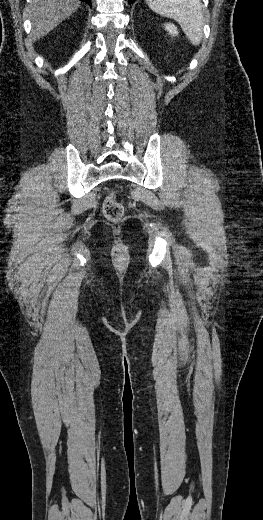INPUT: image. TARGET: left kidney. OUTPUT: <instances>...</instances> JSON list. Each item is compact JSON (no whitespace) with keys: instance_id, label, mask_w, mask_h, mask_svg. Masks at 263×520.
Segmentation results:
<instances>
[{"instance_id":"obj_1","label":"left kidney","mask_w":263,"mask_h":520,"mask_svg":"<svg viewBox=\"0 0 263 520\" xmlns=\"http://www.w3.org/2000/svg\"><path fill=\"white\" fill-rule=\"evenodd\" d=\"M165 30L172 36L178 35L177 28L171 23L165 24Z\"/></svg>"}]
</instances>
